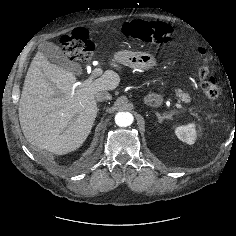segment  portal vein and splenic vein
<instances>
[{
    "mask_svg": "<svg viewBox=\"0 0 236 236\" xmlns=\"http://www.w3.org/2000/svg\"><path fill=\"white\" fill-rule=\"evenodd\" d=\"M101 74H102V69H101V68H95V69L93 70L92 76H91L89 79H87V80L85 81V83H90V82H92L93 77L100 76ZM77 85H80V84H79V83H76V86H77ZM175 106H176L177 108H179V109H182V108H183L182 105H180V104H178V103H176Z\"/></svg>",
    "mask_w": 236,
    "mask_h": 236,
    "instance_id": "portal-vein-and-splenic-vein-1",
    "label": "portal vein and splenic vein"
}]
</instances>
